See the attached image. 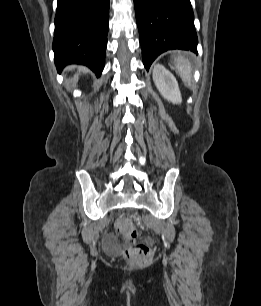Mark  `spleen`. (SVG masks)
Returning a JSON list of instances; mask_svg holds the SVG:
<instances>
[{"label":"spleen","mask_w":261,"mask_h":306,"mask_svg":"<svg viewBox=\"0 0 261 306\" xmlns=\"http://www.w3.org/2000/svg\"><path fill=\"white\" fill-rule=\"evenodd\" d=\"M175 66L182 81L190 85L192 80V68L190 61L182 56H178L175 59Z\"/></svg>","instance_id":"obj_1"}]
</instances>
